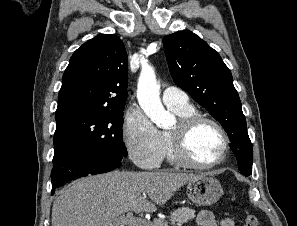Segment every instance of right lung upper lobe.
Listing matches in <instances>:
<instances>
[{
    "mask_svg": "<svg viewBox=\"0 0 297 226\" xmlns=\"http://www.w3.org/2000/svg\"><path fill=\"white\" fill-rule=\"evenodd\" d=\"M128 57L115 35L101 34L72 55L58 96L56 120L83 112L123 111Z\"/></svg>",
    "mask_w": 297,
    "mask_h": 226,
    "instance_id": "1",
    "label": "right lung upper lobe"
}]
</instances>
